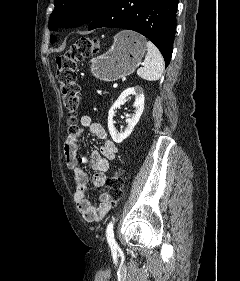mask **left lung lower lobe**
<instances>
[{"instance_id": "1", "label": "left lung lower lobe", "mask_w": 240, "mask_h": 281, "mask_svg": "<svg viewBox=\"0 0 240 281\" xmlns=\"http://www.w3.org/2000/svg\"><path fill=\"white\" fill-rule=\"evenodd\" d=\"M178 0H109L88 27L136 31L161 51L166 66L172 55Z\"/></svg>"}]
</instances>
